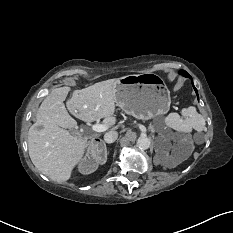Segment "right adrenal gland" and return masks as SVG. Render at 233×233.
<instances>
[{"instance_id": "right-adrenal-gland-1", "label": "right adrenal gland", "mask_w": 233, "mask_h": 233, "mask_svg": "<svg viewBox=\"0 0 233 233\" xmlns=\"http://www.w3.org/2000/svg\"><path fill=\"white\" fill-rule=\"evenodd\" d=\"M104 146H105V143L103 142ZM105 150H106V146H105ZM106 154H107V150H106Z\"/></svg>"}]
</instances>
